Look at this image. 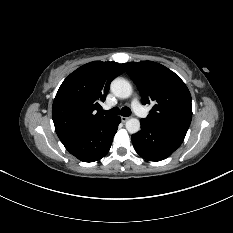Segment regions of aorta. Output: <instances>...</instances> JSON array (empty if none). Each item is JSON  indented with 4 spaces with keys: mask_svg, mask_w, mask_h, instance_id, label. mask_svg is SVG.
Instances as JSON below:
<instances>
[{
    "mask_svg": "<svg viewBox=\"0 0 233 233\" xmlns=\"http://www.w3.org/2000/svg\"><path fill=\"white\" fill-rule=\"evenodd\" d=\"M111 92L118 98L126 99L132 94L131 84L124 78H116L111 82ZM126 129L129 133L134 134L140 130V121L137 118H130L126 121Z\"/></svg>",
    "mask_w": 233,
    "mask_h": 233,
    "instance_id": "1",
    "label": "aorta"
}]
</instances>
